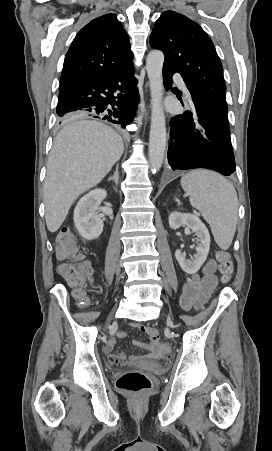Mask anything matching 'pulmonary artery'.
Masks as SVG:
<instances>
[{
	"instance_id": "pulmonary-artery-1",
	"label": "pulmonary artery",
	"mask_w": 272,
	"mask_h": 451,
	"mask_svg": "<svg viewBox=\"0 0 272 451\" xmlns=\"http://www.w3.org/2000/svg\"><path fill=\"white\" fill-rule=\"evenodd\" d=\"M184 78L185 77L183 74H181V73L177 74L175 76V79H176L175 85L177 87L178 92L184 93L186 95L188 92L186 91L187 87H186V82H185ZM185 97L188 99L190 96L187 94Z\"/></svg>"
}]
</instances>
